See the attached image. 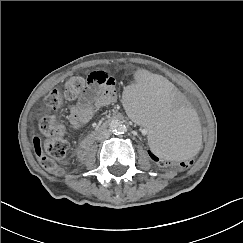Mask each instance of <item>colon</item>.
Returning a JSON list of instances; mask_svg holds the SVG:
<instances>
[{
    "label": "colon",
    "instance_id": "1",
    "mask_svg": "<svg viewBox=\"0 0 243 243\" xmlns=\"http://www.w3.org/2000/svg\"><path fill=\"white\" fill-rule=\"evenodd\" d=\"M83 78L74 76L68 79L63 89H54L46 97V106L53 111L59 110L67 100H73L82 94L90 86L112 85L114 77L107 71H96L94 68H88ZM39 131L47 138L44 142L39 137H34L32 144L42 168L50 173L59 175L62 169L58 162L65 158L69 143L63 138L64 125L54 115H43L38 122ZM147 160L154 165L171 170L173 167L177 170H188L198 165L199 159L196 156L188 161H177L175 164L171 161L161 159L151 149L146 148L143 151Z\"/></svg>",
    "mask_w": 243,
    "mask_h": 243
}]
</instances>
